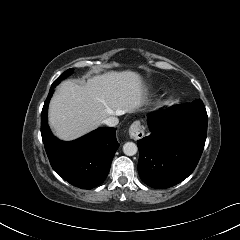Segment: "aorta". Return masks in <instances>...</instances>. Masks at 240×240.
<instances>
[{"label":"aorta","instance_id":"aorta-1","mask_svg":"<svg viewBox=\"0 0 240 240\" xmlns=\"http://www.w3.org/2000/svg\"><path fill=\"white\" fill-rule=\"evenodd\" d=\"M138 147L133 142H127L123 145V152L127 156H133L137 153Z\"/></svg>","mask_w":240,"mask_h":240}]
</instances>
